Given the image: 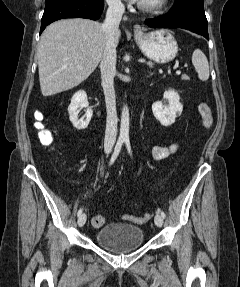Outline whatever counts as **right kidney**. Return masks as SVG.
I'll return each instance as SVG.
<instances>
[{"label": "right kidney", "mask_w": 240, "mask_h": 287, "mask_svg": "<svg viewBox=\"0 0 240 287\" xmlns=\"http://www.w3.org/2000/svg\"><path fill=\"white\" fill-rule=\"evenodd\" d=\"M83 108L86 109V113L84 117L79 119L78 114ZM68 113L70 121L77 130H83L88 127L93 115V111L91 108H89L87 94L85 91L79 90L72 96L71 103L68 106Z\"/></svg>", "instance_id": "obj_1"}]
</instances>
